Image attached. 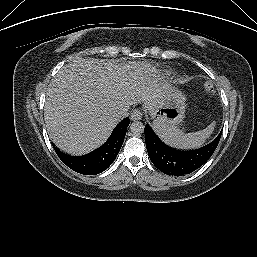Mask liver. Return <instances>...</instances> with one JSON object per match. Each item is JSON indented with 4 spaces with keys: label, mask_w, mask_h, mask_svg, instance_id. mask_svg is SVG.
Returning a JSON list of instances; mask_svg holds the SVG:
<instances>
[{
    "label": "liver",
    "mask_w": 257,
    "mask_h": 257,
    "mask_svg": "<svg viewBox=\"0 0 257 257\" xmlns=\"http://www.w3.org/2000/svg\"><path fill=\"white\" fill-rule=\"evenodd\" d=\"M166 86L149 63L74 60L59 70L47 89L49 137L66 153L85 154L109 137L120 121L118 110L137 103L150 109Z\"/></svg>",
    "instance_id": "liver-1"
}]
</instances>
